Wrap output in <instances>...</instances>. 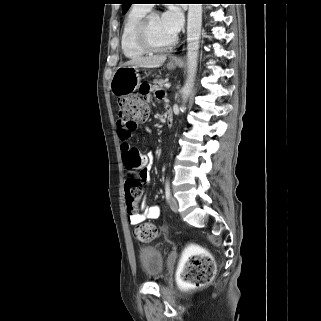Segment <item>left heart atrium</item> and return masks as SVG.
<instances>
[{"mask_svg": "<svg viewBox=\"0 0 321 321\" xmlns=\"http://www.w3.org/2000/svg\"><path fill=\"white\" fill-rule=\"evenodd\" d=\"M163 25L176 35L183 25V15L178 7L172 6L161 15Z\"/></svg>", "mask_w": 321, "mask_h": 321, "instance_id": "left-heart-atrium-1", "label": "left heart atrium"}]
</instances>
